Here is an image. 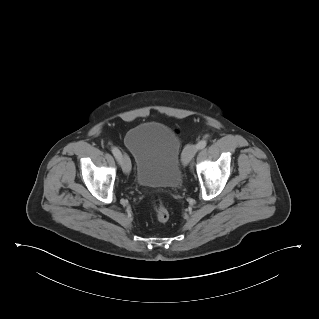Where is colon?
<instances>
[{
	"mask_svg": "<svg viewBox=\"0 0 319 319\" xmlns=\"http://www.w3.org/2000/svg\"><path fill=\"white\" fill-rule=\"evenodd\" d=\"M152 204L157 220L159 222H166L169 219V211L164 206L162 200L159 197H154Z\"/></svg>",
	"mask_w": 319,
	"mask_h": 319,
	"instance_id": "5ec220e1",
	"label": "colon"
}]
</instances>
